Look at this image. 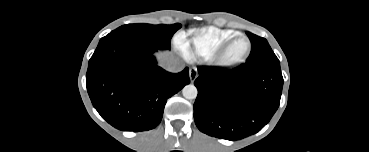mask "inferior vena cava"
Listing matches in <instances>:
<instances>
[{
    "instance_id": "1",
    "label": "inferior vena cava",
    "mask_w": 369,
    "mask_h": 152,
    "mask_svg": "<svg viewBox=\"0 0 369 152\" xmlns=\"http://www.w3.org/2000/svg\"><path fill=\"white\" fill-rule=\"evenodd\" d=\"M162 66L169 72H179L184 68V65L174 58L165 60Z\"/></svg>"
}]
</instances>
